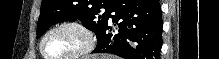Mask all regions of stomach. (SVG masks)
I'll use <instances>...</instances> for the list:
<instances>
[{"label":"stomach","instance_id":"stomach-1","mask_svg":"<svg viewBox=\"0 0 219 59\" xmlns=\"http://www.w3.org/2000/svg\"><path fill=\"white\" fill-rule=\"evenodd\" d=\"M101 59H108V58H106V56H102Z\"/></svg>","mask_w":219,"mask_h":59}]
</instances>
